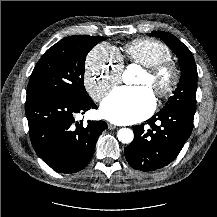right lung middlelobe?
I'll return each mask as SVG.
<instances>
[{
  "mask_svg": "<svg viewBox=\"0 0 217 217\" xmlns=\"http://www.w3.org/2000/svg\"><path fill=\"white\" fill-rule=\"evenodd\" d=\"M105 39L99 36H70L49 48L30 76L26 100L89 99L83 83L85 59L88 52Z\"/></svg>",
  "mask_w": 217,
  "mask_h": 217,
  "instance_id": "dd1d6c3e",
  "label": "right lung middle lobe"
}]
</instances>
